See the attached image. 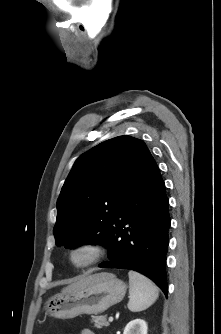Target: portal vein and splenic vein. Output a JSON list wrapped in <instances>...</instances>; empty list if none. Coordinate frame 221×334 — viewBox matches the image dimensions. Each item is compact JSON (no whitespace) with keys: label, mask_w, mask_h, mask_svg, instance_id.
<instances>
[{"label":"portal vein and splenic vein","mask_w":221,"mask_h":334,"mask_svg":"<svg viewBox=\"0 0 221 334\" xmlns=\"http://www.w3.org/2000/svg\"><path fill=\"white\" fill-rule=\"evenodd\" d=\"M108 320H109V322H112V321H113V317L110 316V317L108 318Z\"/></svg>","instance_id":"18ae733b"}]
</instances>
